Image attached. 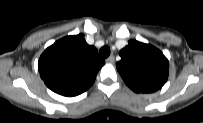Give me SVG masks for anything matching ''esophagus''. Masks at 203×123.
<instances>
[{
	"instance_id": "1",
	"label": "esophagus",
	"mask_w": 203,
	"mask_h": 123,
	"mask_svg": "<svg viewBox=\"0 0 203 123\" xmlns=\"http://www.w3.org/2000/svg\"><path fill=\"white\" fill-rule=\"evenodd\" d=\"M114 61H115L114 56H109V57L106 59V62H107V63H114Z\"/></svg>"
}]
</instances>
